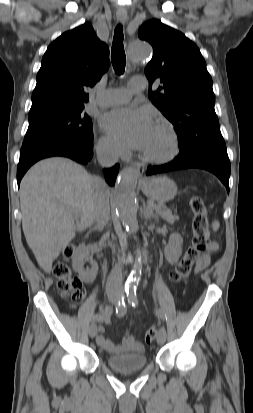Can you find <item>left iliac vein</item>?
Segmentation results:
<instances>
[{"label": "left iliac vein", "instance_id": "4c4485c4", "mask_svg": "<svg viewBox=\"0 0 253 413\" xmlns=\"http://www.w3.org/2000/svg\"><path fill=\"white\" fill-rule=\"evenodd\" d=\"M166 338H167L166 329H165L164 327H161V328L159 329L158 334H157V343H158L159 345L164 344L165 341H166Z\"/></svg>", "mask_w": 253, "mask_h": 413}]
</instances>
